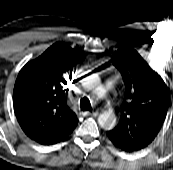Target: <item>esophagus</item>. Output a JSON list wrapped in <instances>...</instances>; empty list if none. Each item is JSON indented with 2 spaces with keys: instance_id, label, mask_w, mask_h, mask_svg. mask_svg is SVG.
I'll return each instance as SVG.
<instances>
[{
  "instance_id": "1",
  "label": "esophagus",
  "mask_w": 173,
  "mask_h": 170,
  "mask_svg": "<svg viewBox=\"0 0 173 170\" xmlns=\"http://www.w3.org/2000/svg\"><path fill=\"white\" fill-rule=\"evenodd\" d=\"M86 114L91 115V116H97L99 114V111L98 110H95V111H92V112L87 111Z\"/></svg>"
}]
</instances>
